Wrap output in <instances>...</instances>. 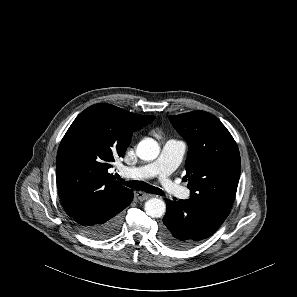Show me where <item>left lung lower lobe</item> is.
<instances>
[{
    "instance_id": "left-lung-lower-lobe-1",
    "label": "left lung lower lobe",
    "mask_w": 297,
    "mask_h": 297,
    "mask_svg": "<svg viewBox=\"0 0 297 297\" xmlns=\"http://www.w3.org/2000/svg\"><path fill=\"white\" fill-rule=\"evenodd\" d=\"M162 241L174 249H189L210 237L231 209L190 200H166Z\"/></svg>"
}]
</instances>
